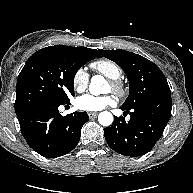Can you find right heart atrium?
I'll use <instances>...</instances> for the list:
<instances>
[{"instance_id": "d8ad5b80", "label": "right heart atrium", "mask_w": 193, "mask_h": 193, "mask_svg": "<svg viewBox=\"0 0 193 193\" xmlns=\"http://www.w3.org/2000/svg\"><path fill=\"white\" fill-rule=\"evenodd\" d=\"M89 74L84 67L75 70L72 76V86L75 91L83 92L88 87Z\"/></svg>"}]
</instances>
